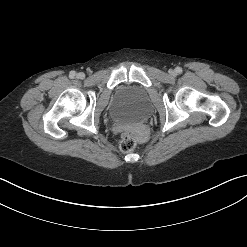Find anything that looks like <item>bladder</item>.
Segmentation results:
<instances>
[{"label": "bladder", "instance_id": "bladder-1", "mask_svg": "<svg viewBox=\"0 0 247 247\" xmlns=\"http://www.w3.org/2000/svg\"><path fill=\"white\" fill-rule=\"evenodd\" d=\"M152 104L147 90L136 84L121 86L114 96L110 115L119 122H140L149 117Z\"/></svg>", "mask_w": 247, "mask_h": 247}]
</instances>
